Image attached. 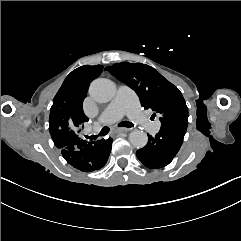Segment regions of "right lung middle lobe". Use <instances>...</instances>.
<instances>
[{
    "label": "right lung middle lobe",
    "instance_id": "1",
    "mask_svg": "<svg viewBox=\"0 0 241 241\" xmlns=\"http://www.w3.org/2000/svg\"><path fill=\"white\" fill-rule=\"evenodd\" d=\"M101 71L97 66H82L70 74L79 82L90 84V82L100 75Z\"/></svg>",
    "mask_w": 241,
    "mask_h": 241
}]
</instances>
